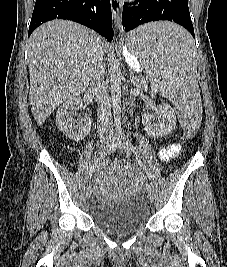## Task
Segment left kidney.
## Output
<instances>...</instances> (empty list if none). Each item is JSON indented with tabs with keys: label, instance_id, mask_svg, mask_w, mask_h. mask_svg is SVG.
I'll return each instance as SVG.
<instances>
[{
	"label": "left kidney",
	"instance_id": "5707ae66",
	"mask_svg": "<svg viewBox=\"0 0 227 267\" xmlns=\"http://www.w3.org/2000/svg\"><path fill=\"white\" fill-rule=\"evenodd\" d=\"M158 121L154 120V116L147 113L143 116V124L149 135L154 137H163L170 134L176 126L175 111L168 104L162 103L159 105V110L156 113Z\"/></svg>",
	"mask_w": 227,
	"mask_h": 267
}]
</instances>
